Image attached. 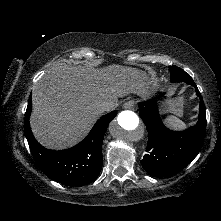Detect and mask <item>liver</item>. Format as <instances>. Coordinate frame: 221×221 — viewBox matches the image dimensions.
<instances>
[{"label": "liver", "instance_id": "1", "mask_svg": "<svg viewBox=\"0 0 221 221\" xmlns=\"http://www.w3.org/2000/svg\"><path fill=\"white\" fill-rule=\"evenodd\" d=\"M153 81L139 69L109 65L94 69L57 63L39 79L32 92L30 125L35 138L47 148L62 149L78 143L100 117L98 108L118 98L151 95ZM168 112L180 114L181 104L169 101Z\"/></svg>", "mask_w": 221, "mask_h": 221}]
</instances>
